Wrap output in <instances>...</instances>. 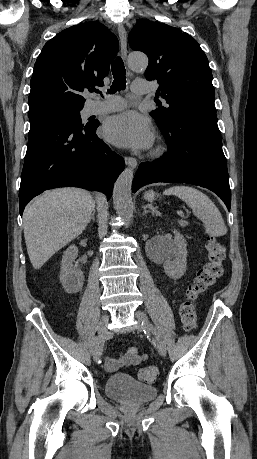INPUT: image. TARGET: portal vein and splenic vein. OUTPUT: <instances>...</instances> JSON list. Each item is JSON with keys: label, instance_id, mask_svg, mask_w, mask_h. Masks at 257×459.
I'll return each mask as SVG.
<instances>
[{"label": "portal vein and splenic vein", "instance_id": "18ae733b", "mask_svg": "<svg viewBox=\"0 0 257 459\" xmlns=\"http://www.w3.org/2000/svg\"><path fill=\"white\" fill-rule=\"evenodd\" d=\"M179 224L185 225V224H187V222H186V221H183V220H180V221H179Z\"/></svg>", "mask_w": 257, "mask_h": 459}]
</instances>
